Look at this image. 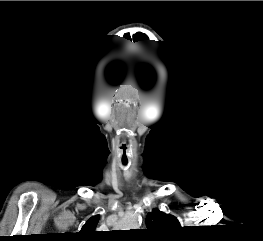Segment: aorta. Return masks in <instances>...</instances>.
Returning <instances> with one entry per match:
<instances>
[{
  "label": "aorta",
  "mask_w": 263,
  "mask_h": 241,
  "mask_svg": "<svg viewBox=\"0 0 263 241\" xmlns=\"http://www.w3.org/2000/svg\"><path fill=\"white\" fill-rule=\"evenodd\" d=\"M141 224V218L137 213H130L118 223V228L123 230L137 229Z\"/></svg>",
  "instance_id": "762f6f07"
}]
</instances>
